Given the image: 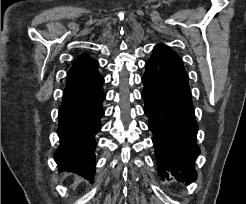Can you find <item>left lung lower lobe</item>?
Listing matches in <instances>:
<instances>
[{
	"instance_id": "obj_1",
	"label": "left lung lower lobe",
	"mask_w": 246,
	"mask_h": 204,
	"mask_svg": "<svg viewBox=\"0 0 246 204\" xmlns=\"http://www.w3.org/2000/svg\"><path fill=\"white\" fill-rule=\"evenodd\" d=\"M145 67L142 97L158 173L162 179L190 183L197 177L194 160L200 149L187 73L178 54L162 44L155 46Z\"/></svg>"
}]
</instances>
